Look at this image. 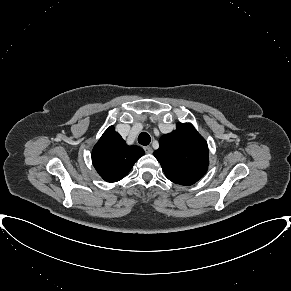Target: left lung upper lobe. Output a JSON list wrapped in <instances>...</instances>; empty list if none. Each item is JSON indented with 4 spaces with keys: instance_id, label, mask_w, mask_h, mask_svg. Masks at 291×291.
Listing matches in <instances>:
<instances>
[{
    "instance_id": "obj_1",
    "label": "left lung upper lobe",
    "mask_w": 291,
    "mask_h": 291,
    "mask_svg": "<svg viewBox=\"0 0 291 291\" xmlns=\"http://www.w3.org/2000/svg\"><path fill=\"white\" fill-rule=\"evenodd\" d=\"M165 176L180 185H192L208 168V146L204 138L189 123H177L176 130L163 135L154 152Z\"/></svg>"
}]
</instances>
